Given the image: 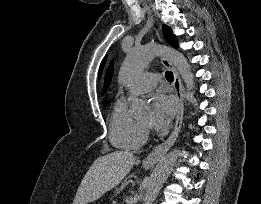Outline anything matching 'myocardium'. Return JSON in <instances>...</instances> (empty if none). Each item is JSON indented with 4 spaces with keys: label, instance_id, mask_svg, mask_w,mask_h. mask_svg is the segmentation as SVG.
Returning a JSON list of instances; mask_svg holds the SVG:
<instances>
[{
    "label": "myocardium",
    "instance_id": "f54148a6",
    "mask_svg": "<svg viewBox=\"0 0 261 204\" xmlns=\"http://www.w3.org/2000/svg\"><path fill=\"white\" fill-rule=\"evenodd\" d=\"M142 125L143 128H147L148 127V124H145V123H140Z\"/></svg>",
    "mask_w": 261,
    "mask_h": 204
}]
</instances>
